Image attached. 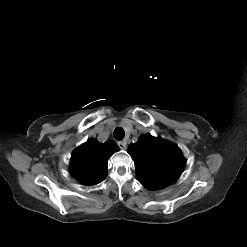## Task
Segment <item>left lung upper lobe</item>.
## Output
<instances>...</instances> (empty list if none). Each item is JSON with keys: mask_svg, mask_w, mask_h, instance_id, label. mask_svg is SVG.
I'll list each match as a JSON object with an SVG mask.
<instances>
[{"mask_svg": "<svg viewBox=\"0 0 247 247\" xmlns=\"http://www.w3.org/2000/svg\"><path fill=\"white\" fill-rule=\"evenodd\" d=\"M128 153L134 160L138 181L151 190L174 183L186 164L178 146L151 135H143L137 143L130 144Z\"/></svg>", "mask_w": 247, "mask_h": 247, "instance_id": "1", "label": "left lung upper lobe"}]
</instances>
